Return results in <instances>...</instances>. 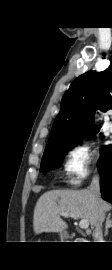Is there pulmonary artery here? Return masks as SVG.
<instances>
[{
    "label": "pulmonary artery",
    "instance_id": "e3ab8cb5",
    "mask_svg": "<svg viewBox=\"0 0 112 270\" xmlns=\"http://www.w3.org/2000/svg\"><path fill=\"white\" fill-rule=\"evenodd\" d=\"M110 131L112 132V124L110 125Z\"/></svg>",
    "mask_w": 112,
    "mask_h": 270
}]
</instances>
